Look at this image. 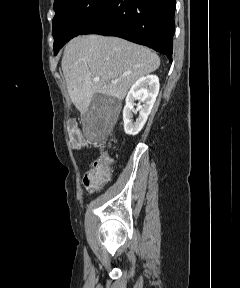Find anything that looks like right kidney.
Instances as JSON below:
<instances>
[{"label":"right kidney","mask_w":240,"mask_h":288,"mask_svg":"<svg viewBox=\"0 0 240 288\" xmlns=\"http://www.w3.org/2000/svg\"><path fill=\"white\" fill-rule=\"evenodd\" d=\"M159 79L156 75L141 77L131 87L126 97V105L123 109L124 131L128 135H136L143 128L159 92ZM141 100L134 110V101ZM133 112H139V116L133 122Z\"/></svg>","instance_id":"ca27d5eb"}]
</instances>
